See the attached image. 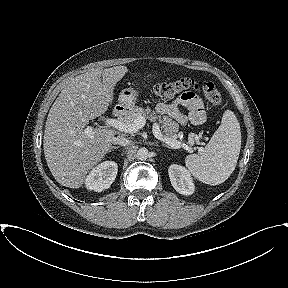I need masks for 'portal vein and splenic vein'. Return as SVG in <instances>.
<instances>
[{
    "label": "portal vein and splenic vein",
    "instance_id": "obj_1",
    "mask_svg": "<svg viewBox=\"0 0 288 288\" xmlns=\"http://www.w3.org/2000/svg\"><path fill=\"white\" fill-rule=\"evenodd\" d=\"M104 124L107 125V126L114 127V128L118 129L121 132L135 133L139 129H141V128H143L145 126L146 118L144 116H138L136 119H134V121L132 123H124L121 120H117V119H114V118H106L104 120ZM91 132H92V127L88 126L86 128V133L89 134ZM153 134L158 140L167 143L173 149L184 148V149H187L189 152H191V150H192L185 143L177 141L176 139L168 138L165 135H163L162 132L160 131L159 125L157 123L153 124ZM198 150L202 151V148L200 147Z\"/></svg>",
    "mask_w": 288,
    "mask_h": 288
}]
</instances>
